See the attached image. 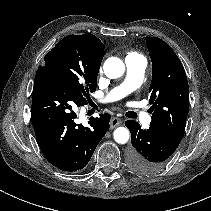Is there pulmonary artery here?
<instances>
[{
    "label": "pulmonary artery",
    "mask_w": 211,
    "mask_h": 211,
    "mask_svg": "<svg viewBox=\"0 0 211 211\" xmlns=\"http://www.w3.org/2000/svg\"><path fill=\"white\" fill-rule=\"evenodd\" d=\"M127 76L122 85L113 89L106 97V100H115L124 97L135 90L142 83L144 71L147 65L146 59L138 54H130L125 58ZM145 124L150 122L148 115L140 113Z\"/></svg>",
    "instance_id": "e3ab8cb5"
}]
</instances>
